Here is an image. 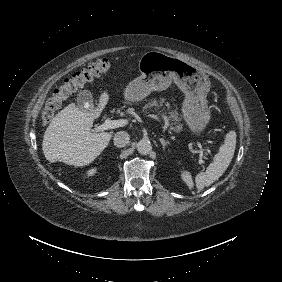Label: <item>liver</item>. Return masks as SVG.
<instances>
[{
    "instance_id": "obj_1",
    "label": "liver",
    "mask_w": 282,
    "mask_h": 282,
    "mask_svg": "<svg viewBox=\"0 0 282 282\" xmlns=\"http://www.w3.org/2000/svg\"><path fill=\"white\" fill-rule=\"evenodd\" d=\"M108 100L109 95L103 92L97 108L92 111L79 110L74 103L61 110L44 133L45 158L51 163L61 161L76 167L94 161L112 137V133L91 131L93 121L100 116Z\"/></svg>"
}]
</instances>
